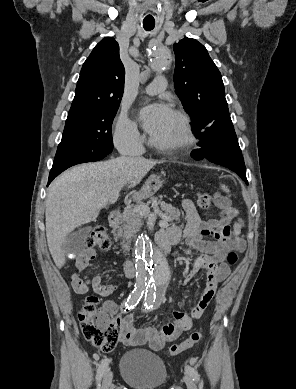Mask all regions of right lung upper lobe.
Returning <instances> with one entry per match:
<instances>
[{"mask_svg":"<svg viewBox=\"0 0 296 389\" xmlns=\"http://www.w3.org/2000/svg\"><path fill=\"white\" fill-rule=\"evenodd\" d=\"M124 66L113 37L102 39L84 62L67 120L93 109L119 106L124 90Z\"/></svg>","mask_w":296,"mask_h":389,"instance_id":"right-lung-upper-lobe-1","label":"right lung upper lobe"}]
</instances>
